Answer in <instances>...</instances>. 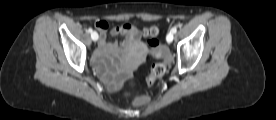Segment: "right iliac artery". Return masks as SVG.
<instances>
[{"label":"right iliac artery","mask_w":276,"mask_h":120,"mask_svg":"<svg viewBox=\"0 0 276 120\" xmlns=\"http://www.w3.org/2000/svg\"><path fill=\"white\" fill-rule=\"evenodd\" d=\"M87 31H88L89 33H92V32H93L92 28H89Z\"/></svg>","instance_id":"82829eb1"}]
</instances>
